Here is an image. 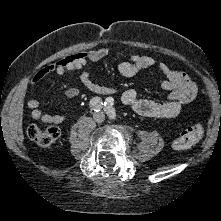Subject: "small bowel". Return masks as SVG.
<instances>
[{
	"instance_id": "c3829d8e",
	"label": "small bowel",
	"mask_w": 221,
	"mask_h": 221,
	"mask_svg": "<svg viewBox=\"0 0 221 221\" xmlns=\"http://www.w3.org/2000/svg\"><path fill=\"white\" fill-rule=\"evenodd\" d=\"M108 49L105 47L81 51L59 59L53 64L40 69L32 79L33 85H38L49 74H64L69 71L80 70L90 61H98L106 57ZM155 60L149 55L132 53L127 61L119 63L118 72L124 77H132L143 69L154 66ZM159 71L164 75L161 87L168 92L167 101L159 103L149 99L139 98L136 91L129 89L121 94L122 102L134 112L146 117L170 118L178 115L182 108L193 101L198 93L197 84L184 72L172 69L166 63H159ZM81 83L95 94L113 95L117 91L92 81L89 71L84 70L80 75ZM77 88H68L65 95L68 98L78 96ZM27 107L35 119L50 124H61L67 116L63 114H48L39 109L36 99H29Z\"/></svg>"
}]
</instances>
